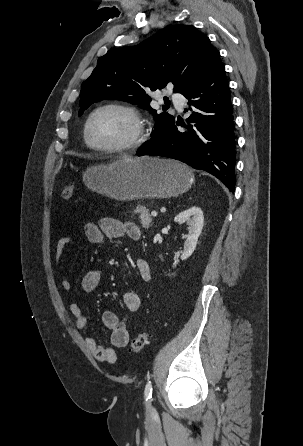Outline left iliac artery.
Instances as JSON below:
<instances>
[{
    "mask_svg": "<svg viewBox=\"0 0 303 446\" xmlns=\"http://www.w3.org/2000/svg\"><path fill=\"white\" fill-rule=\"evenodd\" d=\"M144 397H145V401L147 403H150L151 398H152V384H151V381H148L146 386H145Z\"/></svg>",
    "mask_w": 303,
    "mask_h": 446,
    "instance_id": "obj_1",
    "label": "left iliac artery"
}]
</instances>
